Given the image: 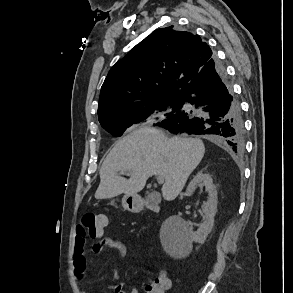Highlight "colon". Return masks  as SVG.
<instances>
[{
    "mask_svg": "<svg viewBox=\"0 0 293 293\" xmlns=\"http://www.w3.org/2000/svg\"><path fill=\"white\" fill-rule=\"evenodd\" d=\"M107 225V216L104 214L86 213L82 217L81 228L86 236L91 239L99 238ZM167 277L161 274L151 281L145 288L146 293H166Z\"/></svg>",
    "mask_w": 293,
    "mask_h": 293,
    "instance_id": "obj_1",
    "label": "colon"
}]
</instances>
